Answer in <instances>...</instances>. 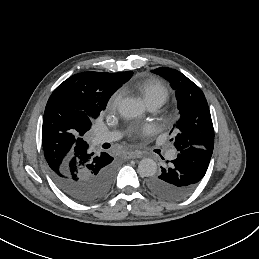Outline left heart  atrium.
I'll use <instances>...</instances> for the list:
<instances>
[{"label": "left heart atrium", "instance_id": "39dd6f15", "mask_svg": "<svg viewBox=\"0 0 259 259\" xmlns=\"http://www.w3.org/2000/svg\"><path fill=\"white\" fill-rule=\"evenodd\" d=\"M149 130H150L149 126L139 127L131 131V136L140 137L141 135L145 134Z\"/></svg>", "mask_w": 259, "mask_h": 259}]
</instances>
